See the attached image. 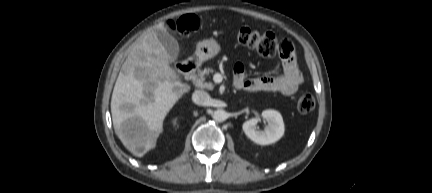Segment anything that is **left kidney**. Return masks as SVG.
<instances>
[{
  "instance_id": "5707ae66",
  "label": "left kidney",
  "mask_w": 432,
  "mask_h": 193,
  "mask_svg": "<svg viewBox=\"0 0 432 193\" xmlns=\"http://www.w3.org/2000/svg\"><path fill=\"white\" fill-rule=\"evenodd\" d=\"M262 117L268 122L263 131L256 130L258 120L252 118L245 121L242 129L246 136L259 145H269L278 141L284 134V122L281 114L276 110H264Z\"/></svg>"
}]
</instances>
